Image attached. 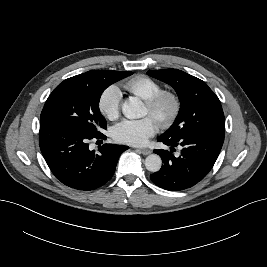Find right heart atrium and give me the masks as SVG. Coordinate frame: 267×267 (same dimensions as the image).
Masks as SVG:
<instances>
[{"label":"right heart atrium","instance_id":"1","mask_svg":"<svg viewBox=\"0 0 267 267\" xmlns=\"http://www.w3.org/2000/svg\"><path fill=\"white\" fill-rule=\"evenodd\" d=\"M121 93L115 86L103 90L98 100L101 114L109 120L116 119L120 114Z\"/></svg>","mask_w":267,"mask_h":267}]
</instances>
